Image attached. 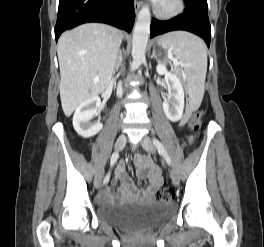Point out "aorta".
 I'll use <instances>...</instances> for the list:
<instances>
[{
    "label": "aorta",
    "mask_w": 264,
    "mask_h": 247,
    "mask_svg": "<svg viewBox=\"0 0 264 247\" xmlns=\"http://www.w3.org/2000/svg\"><path fill=\"white\" fill-rule=\"evenodd\" d=\"M151 13L148 6H144L138 13L134 26L132 38V57L133 61L130 70H137L145 61V51L150 34Z\"/></svg>",
    "instance_id": "aorta-1"
}]
</instances>
